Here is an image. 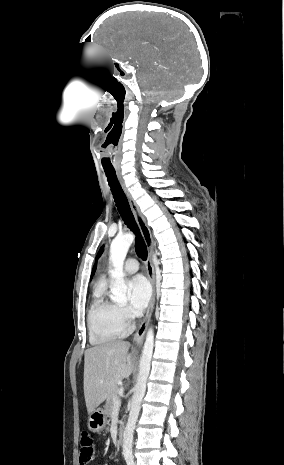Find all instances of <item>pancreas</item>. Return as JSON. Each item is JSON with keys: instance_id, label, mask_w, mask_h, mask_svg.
<instances>
[{"instance_id": "pancreas-1", "label": "pancreas", "mask_w": 284, "mask_h": 465, "mask_svg": "<svg viewBox=\"0 0 284 465\" xmlns=\"http://www.w3.org/2000/svg\"><path fill=\"white\" fill-rule=\"evenodd\" d=\"M117 393H118V389H114V391H111L110 395H108L106 399V405H104V409H105V415H107V417H111L112 415L113 399L114 397H116Z\"/></svg>"}]
</instances>
